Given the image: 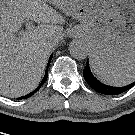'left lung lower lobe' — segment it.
<instances>
[{
    "label": "left lung lower lobe",
    "mask_w": 135,
    "mask_h": 135,
    "mask_svg": "<svg viewBox=\"0 0 135 135\" xmlns=\"http://www.w3.org/2000/svg\"><path fill=\"white\" fill-rule=\"evenodd\" d=\"M83 76H84L85 80L87 81V83L95 91H97L101 94H105V95H118V94H121V93L129 90L131 87H133L135 85V82H133L127 86H123V87H113V86L105 85L93 76L88 62H87L86 68L83 70Z\"/></svg>",
    "instance_id": "0a47b994"
}]
</instances>
